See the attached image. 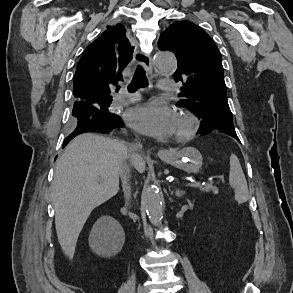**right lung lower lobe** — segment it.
Segmentation results:
<instances>
[{
    "label": "right lung lower lobe",
    "mask_w": 293,
    "mask_h": 293,
    "mask_svg": "<svg viewBox=\"0 0 293 293\" xmlns=\"http://www.w3.org/2000/svg\"><path fill=\"white\" fill-rule=\"evenodd\" d=\"M72 115L74 130L67 136L63 148L77 135L87 132L109 133L113 129L123 127L120 116L111 112H103L92 104L76 101Z\"/></svg>",
    "instance_id": "obj_1"
}]
</instances>
